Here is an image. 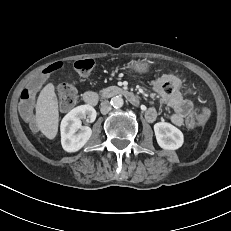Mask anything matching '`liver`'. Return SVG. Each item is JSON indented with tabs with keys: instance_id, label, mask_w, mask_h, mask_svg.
<instances>
[{
	"instance_id": "6515ba94",
	"label": "liver",
	"mask_w": 231,
	"mask_h": 231,
	"mask_svg": "<svg viewBox=\"0 0 231 231\" xmlns=\"http://www.w3.org/2000/svg\"><path fill=\"white\" fill-rule=\"evenodd\" d=\"M36 123L38 129L48 139L56 137L59 125L58 100L55 87L48 83L40 92L36 103Z\"/></svg>"
}]
</instances>
